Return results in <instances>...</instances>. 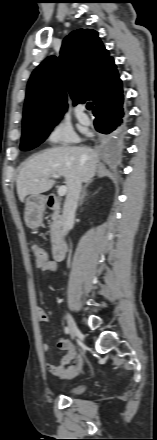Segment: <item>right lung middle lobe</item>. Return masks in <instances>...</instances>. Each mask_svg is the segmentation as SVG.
<instances>
[{
  "mask_svg": "<svg viewBox=\"0 0 157 440\" xmlns=\"http://www.w3.org/2000/svg\"><path fill=\"white\" fill-rule=\"evenodd\" d=\"M58 123L57 121H48L41 123H32L26 126H23L22 137H21V145L20 149L22 151H28L40 143H42L46 137L51 132L52 128ZM120 138V137H118ZM116 138V139H118ZM114 137H106L107 141L116 140Z\"/></svg>",
  "mask_w": 157,
  "mask_h": 440,
  "instance_id": "obj_1",
  "label": "right lung middle lobe"
}]
</instances>
